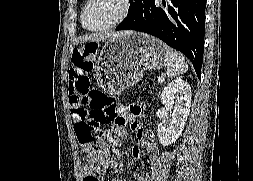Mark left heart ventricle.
<instances>
[{
  "mask_svg": "<svg viewBox=\"0 0 253 181\" xmlns=\"http://www.w3.org/2000/svg\"><path fill=\"white\" fill-rule=\"evenodd\" d=\"M122 10V0H92L85 13V24L100 28L113 21Z\"/></svg>",
  "mask_w": 253,
  "mask_h": 181,
  "instance_id": "obj_1",
  "label": "left heart ventricle"
}]
</instances>
